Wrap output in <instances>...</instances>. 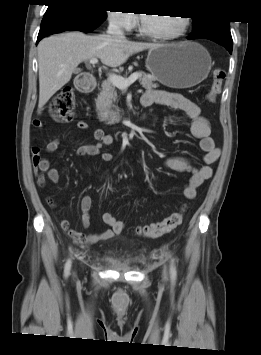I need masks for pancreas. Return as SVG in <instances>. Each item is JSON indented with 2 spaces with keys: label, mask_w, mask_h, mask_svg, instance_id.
Returning <instances> with one entry per match:
<instances>
[{
  "label": "pancreas",
  "mask_w": 261,
  "mask_h": 355,
  "mask_svg": "<svg viewBox=\"0 0 261 355\" xmlns=\"http://www.w3.org/2000/svg\"><path fill=\"white\" fill-rule=\"evenodd\" d=\"M140 84L146 89L157 88L158 84L154 83L155 78L144 72H140ZM102 90L99 93L96 102V111L98 114V119L108 125H113L119 123L121 116L118 107L115 105L118 96L115 86L110 82V80L103 81Z\"/></svg>",
  "instance_id": "cf45deb5"
}]
</instances>
